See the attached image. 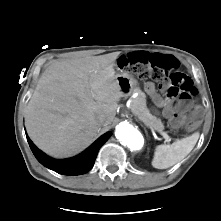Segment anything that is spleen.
<instances>
[{
    "label": "spleen",
    "mask_w": 221,
    "mask_h": 221,
    "mask_svg": "<svg viewBox=\"0 0 221 221\" xmlns=\"http://www.w3.org/2000/svg\"><path fill=\"white\" fill-rule=\"evenodd\" d=\"M199 136V132H195L171 145H158L155 148L152 166L157 169H166L177 164L192 151Z\"/></svg>",
    "instance_id": "3e777b00"
}]
</instances>
